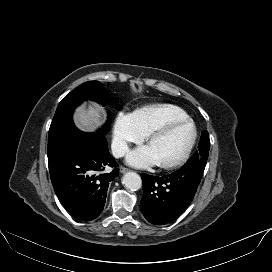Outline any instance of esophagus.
Returning <instances> with one entry per match:
<instances>
[{
  "mask_svg": "<svg viewBox=\"0 0 272 272\" xmlns=\"http://www.w3.org/2000/svg\"><path fill=\"white\" fill-rule=\"evenodd\" d=\"M129 171V169L128 168H126V167H120V172L121 173H126V172H128Z\"/></svg>",
  "mask_w": 272,
  "mask_h": 272,
  "instance_id": "obj_1",
  "label": "esophagus"
}]
</instances>
